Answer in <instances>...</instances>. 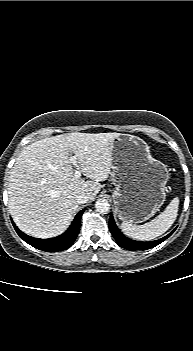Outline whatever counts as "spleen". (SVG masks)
Segmentation results:
<instances>
[{
    "mask_svg": "<svg viewBox=\"0 0 193 351\" xmlns=\"http://www.w3.org/2000/svg\"><path fill=\"white\" fill-rule=\"evenodd\" d=\"M179 199L174 198L166 207L165 211L152 221L143 225H136L129 221H123L121 228L123 233L133 239L148 241L165 233L174 223L177 217Z\"/></svg>",
    "mask_w": 193,
    "mask_h": 351,
    "instance_id": "3e777b00",
    "label": "spleen"
}]
</instances>
